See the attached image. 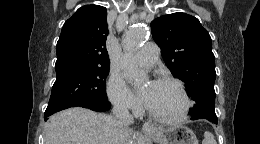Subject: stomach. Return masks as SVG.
Masks as SVG:
<instances>
[{
    "label": "stomach",
    "mask_w": 260,
    "mask_h": 144,
    "mask_svg": "<svg viewBox=\"0 0 260 144\" xmlns=\"http://www.w3.org/2000/svg\"><path fill=\"white\" fill-rule=\"evenodd\" d=\"M148 134L155 144H198L194 132L182 125L167 128L156 127Z\"/></svg>",
    "instance_id": "1"
}]
</instances>
